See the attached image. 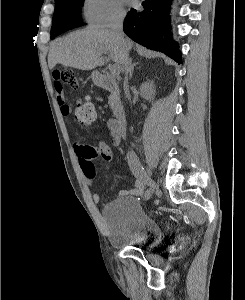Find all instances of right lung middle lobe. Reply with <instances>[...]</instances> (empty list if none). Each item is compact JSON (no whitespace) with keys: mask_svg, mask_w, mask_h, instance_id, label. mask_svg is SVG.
<instances>
[{"mask_svg":"<svg viewBox=\"0 0 245 300\" xmlns=\"http://www.w3.org/2000/svg\"><path fill=\"white\" fill-rule=\"evenodd\" d=\"M84 0H57L52 19L51 39L60 33V25L68 22H81V7Z\"/></svg>","mask_w":245,"mask_h":300,"instance_id":"obj_1","label":"right lung middle lobe"}]
</instances>
